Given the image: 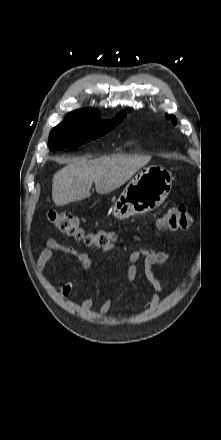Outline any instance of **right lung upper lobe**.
<instances>
[{
	"instance_id": "cb5924a9",
	"label": "right lung upper lobe",
	"mask_w": 221,
	"mask_h": 440,
	"mask_svg": "<svg viewBox=\"0 0 221 440\" xmlns=\"http://www.w3.org/2000/svg\"><path fill=\"white\" fill-rule=\"evenodd\" d=\"M78 111H95L94 109H81V110H78Z\"/></svg>"
}]
</instances>
